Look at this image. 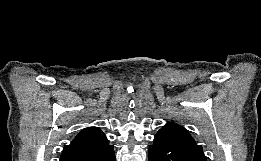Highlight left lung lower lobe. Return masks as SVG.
<instances>
[{
    "label": "left lung lower lobe",
    "mask_w": 261,
    "mask_h": 161,
    "mask_svg": "<svg viewBox=\"0 0 261 161\" xmlns=\"http://www.w3.org/2000/svg\"><path fill=\"white\" fill-rule=\"evenodd\" d=\"M148 161H206L202 146L171 133L158 132L149 145Z\"/></svg>",
    "instance_id": "left-lung-lower-lobe-1"
}]
</instances>
